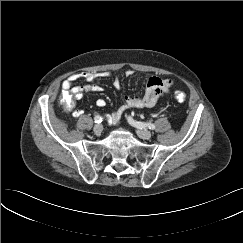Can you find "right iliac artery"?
I'll use <instances>...</instances> for the list:
<instances>
[{
  "mask_svg": "<svg viewBox=\"0 0 243 243\" xmlns=\"http://www.w3.org/2000/svg\"><path fill=\"white\" fill-rule=\"evenodd\" d=\"M94 121H95V123H101L103 121V118L101 116L97 115L94 117Z\"/></svg>",
  "mask_w": 243,
  "mask_h": 243,
  "instance_id": "1",
  "label": "right iliac artery"
}]
</instances>
